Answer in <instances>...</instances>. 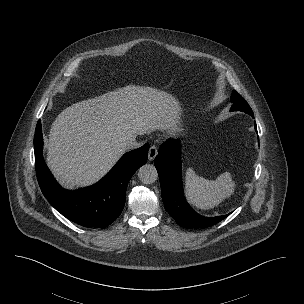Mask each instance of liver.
Returning <instances> with one entry per match:
<instances>
[{"label":"liver","instance_id":"liver-1","mask_svg":"<svg viewBox=\"0 0 304 304\" xmlns=\"http://www.w3.org/2000/svg\"><path fill=\"white\" fill-rule=\"evenodd\" d=\"M181 106L165 91L128 85L64 109L52 123L47 164L64 187L101 179L125 153V141L154 130H174Z\"/></svg>","mask_w":304,"mask_h":304}]
</instances>
